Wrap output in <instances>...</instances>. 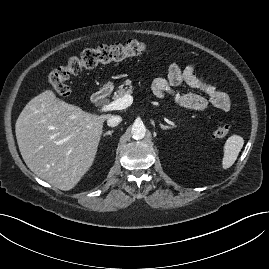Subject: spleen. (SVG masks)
Here are the masks:
<instances>
[{"label":"spleen","instance_id":"obj_1","mask_svg":"<svg viewBox=\"0 0 269 269\" xmlns=\"http://www.w3.org/2000/svg\"><path fill=\"white\" fill-rule=\"evenodd\" d=\"M244 144V139L239 135L230 136L224 145V156L222 159V168H230L236 161L239 152Z\"/></svg>","mask_w":269,"mask_h":269}]
</instances>
